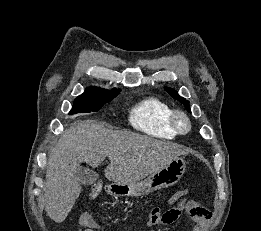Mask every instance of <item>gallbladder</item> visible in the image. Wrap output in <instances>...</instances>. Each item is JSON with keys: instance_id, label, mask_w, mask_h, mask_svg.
I'll return each mask as SVG.
<instances>
[{"instance_id": "gallbladder-1", "label": "gallbladder", "mask_w": 261, "mask_h": 231, "mask_svg": "<svg viewBox=\"0 0 261 231\" xmlns=\"http://www.w3.org/2000/svg\"><path fill=\"white\" fill-rule=\"evenodd\" d=\"M75 176L83 185H92L98 178V175L94 170L84 166L76 167Z\"/></svg>"}]
</instances>
